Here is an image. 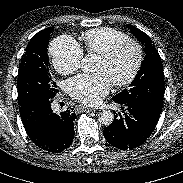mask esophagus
<instances>
[{"label": "esophagus", "mask_w": 183, "mask_h": 183, "mask_svg": "<svg viewBox=\"0 0 183 183\" xmlns=\"http://www.w3.org/2000/svg\"><path fill=\"white\" fill-rule=\"evenodd\" d=\"M76 110H77V111H85V112L95 111V109H93V108L86 107V106H82V105L77 106V107H76Z\"/></svg>", "instance_id": "obj_1"}]
</instances>
